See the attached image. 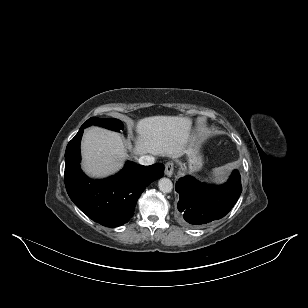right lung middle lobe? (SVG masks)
<instances>
[{
	"instance_id": "1",
	"label": "right lung middle lobe",
	"mask_w": 308,
	"mask_h": 308,
	"mask_svg": "<svg viewBox=\"0 0 308 308\" xmlns=\"http://www.w3.org/2000/svg\"><path fill=\"white\" fill-rule=\"evenodd\" d=\"M90 125H98V126H102L114 131H120L124 129V125L123 123L115 118H107V119H101V118H96V117H92L90 119H88L82 126L87 127Z\"/></svg>"
}]
</instances>
